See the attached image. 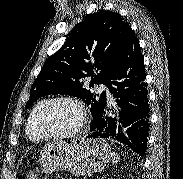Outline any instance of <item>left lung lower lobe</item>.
<instances>
[{"label": "left lung lower lobe", "mask_w": 183, "mask_h": 179, "mask_svg": "<svg viewBox=\"0 0 183 179\" xmlns=\"http://www.w3.org/2000/svg\"><path fill=\"white\" fill-rule=\"evenodd\" d=\"M145 77L139 41L131 29L108 83L112 96L116 98L117 113L108 117L104 107L92 121V133L88 135L117 140L129 146L141 159L146 152L150 117Z\"/></svg>", "instance_id": "left-lung-lower-lobe-1"}]
</instances>
